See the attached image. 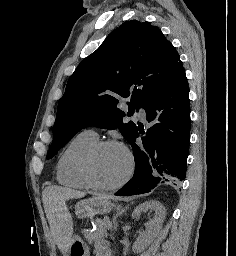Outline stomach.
I'll list each match as a JSON object with an SVG mask.
<instances>
[{
  "label": "stomach",
  "instance_id": "0dacf381",
  "mask_svg": "<svg viewBox=\"0 0 236 256\" xmlns=\"http://www.w3.org/2000/svg\"><path fill=\"white\" fill-rule=\"evenodd\" d=\"M112 208L113 204L107 197L95 196L79 201L75 205V214L78 218H91L97 214L109 213ZM67 256H89V247L79 236H75Z\"/></svg>",
  "mask_w": 236,
  "mask_h": 256
}]
</instances>
